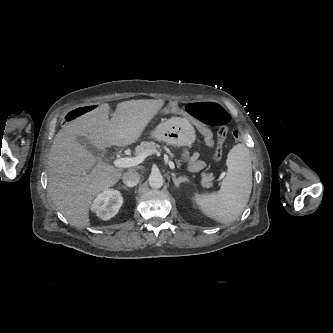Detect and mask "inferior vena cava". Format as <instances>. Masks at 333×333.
I'll return each mask as SVG.
<instances>
[{"label":"inferior vena cava","mask_w":333,"mask_h":333,"mask_svg":"<svg viewBox=\"0 0 333 333\" xmlns=\"http://www.w3.org/2000/svg\"><path fill=\"white\" fill-rule=\"evenodd\" d=\"M123 183L128 187H134L139 183L140 175L135 170H129L122 176Z\"/></svg>","instance_id":"inferior-vena-cava-1"}]
</instances>
